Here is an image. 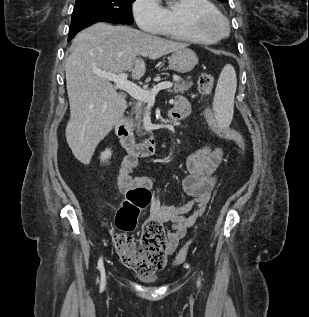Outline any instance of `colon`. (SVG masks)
Returning <instances> with one entry per match:
<instances>
[{
  "instance_id": "5ec220e1",
  "label": "colon",
  "mask_w": 309,
  "mask_h": 317,
  "mask_svg": "<svg viewBox=\"0 0 309 317\" xmlns=\"http://www.w3.org/2000/svg\"><path fill=\"white\" fill-rule=\"evenodd\" d=\"M214 85L213 77L203 73L198 79V90L202 96L211 93ZM204 116L208 124L218 131V134L233 141L241 154L245 153L246 144L243 136L230 128L219 129L216 126L212 110L206 106ZM151 200V193L142 188L134 189L126 194L125 201L118 211L114 234V247L122 263L140 275H150L162 269L166 263L167 238L162 223L149 219L143 224L142 233L138 239L129 235L135 228L139 213ZM188 246L177 255L176 262L181 263L187 256Z\"/></svg>"
}]
</instances>
